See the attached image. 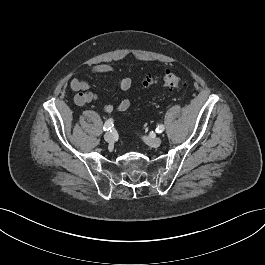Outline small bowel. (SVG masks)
Wrapping results in <instances>:
<instances>
[{"label": "small bowel", "instance_id": "obj_1", "mask_svg": "<svg viewBox=\"0 0 265 265\" xmlns=\"http://www.w3.org/2000/svg\"><path fill=\"white\" fill-rule=\"evenodd\" d=\"M114 72V67L109 64H98L92 67L88 73V77L74 78L70 82V88L77 94L74 97V101L77 105L82 106L89 103L96 102L98 100V96L92 93L90 89V79L97 76L109 75ZM116 84L122 90L130 89L132 85V81L130 78L123 77L116 79ZM131 101L129 99H124L119 102L116 106L110 103H106L103 105V109L107 113H112L117 110L120 112L126 111L130 108Z\"/></svg>", "mask_w": 265, "mask_h": 265}]
</instances>
